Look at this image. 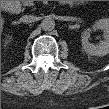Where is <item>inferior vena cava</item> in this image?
Returning <instances> with one entry per match:
<instances>
[{"label": "inferior vena cava", "mask_w": 109, "mask_h": 109, "mask_svg": "<svg viewBox=\"0 0 109 109\" xmlns=\"http://www.w3.org/2000/svg\"><path fill=\"white\" fill-rule=\"evenodd\" d=\"M20 21L23 23H31L35 21V17L32 15H24L21 17Z\"/></svg>", "instance_id": "inferior-vena-cava-1"}]
</instances>
